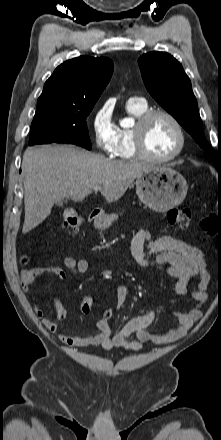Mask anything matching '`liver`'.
Returning a JSON list of instances; mask_svg holds the SVG:
<instances>
[{
    "label": "liver",
    "instance_id": "1",
    "mask_svg": "<svg viewBox=\"0 0 221 440\" xmlns=\"http://www.w3.org/2000/svg\"><path fill=\"white\" fill-rule=\"evenodd\" d=\"M152 165L108 159L74 146L42 145L26 149L22 161L24 176L26 234L51 213L54 203L64 198L82 201L100 186L107 202L119 200L137 176Z\"/></svg>",
    "mask_w": 221,
    "mask_h": 440
}]
</instances>
